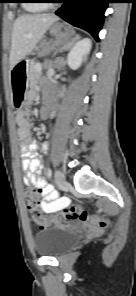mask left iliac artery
I'll list each match as a JSON object with an SVG mask.
<instances>
[{
	"label": "left iliac artery",
	"mask_w": 136,
	"mask_h": 296,
	"mask_svg": "<svg viewBox=\"0 0 136 296\" xmlns=\"http://www.w3.org/2000/svg\"><path fill=\"white\" fill-rule=\"evenodd\" d=\"M47 175H48V177H51V175H52V171H51V169L48 170Z\"/></svg>",
	"instance_id": "44dca946"
}]
</instances>
